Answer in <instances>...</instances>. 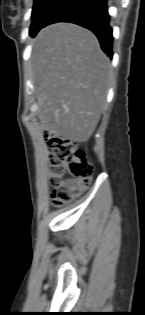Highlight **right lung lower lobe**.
<instances>
[{
    "instance_id": "right-lung-lower-lobe-1",
    "label": "right lung lower lobe",
    "mask_w": 145,
    "mask_h": 315,
    "mask_svg": "<svg viewBox=\"0 0 145 315\" xmlns=\"http://www.w3.org/2000/svg\"><path fill=\"white\" fill-rule=\"evenodd\" d=\"M109 20L107 0H66L41 28L56 22L83 26L98 37L102 50L112 58L113 36Z\"/></svg>"
}]
</instances>
